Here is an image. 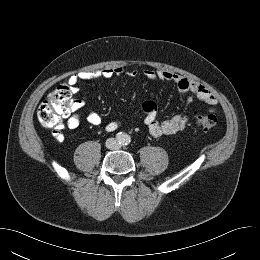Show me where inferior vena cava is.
<instances>
[{"label":"inferior vena cava","mask_w":260,"mask_h":260,"mask_svg":"<svg viewBox=\"0 0 260 260\" xmlns=\"http://www.w3.org/2000/svg\"><path fill=\"white\" fill-rule=\"evenodd\" d=\"M106 147L108 149L115 150L119 148V144L114 138H108L106 140Z\"/></svg>","instance_id":"602c4592"}]
</instances>
